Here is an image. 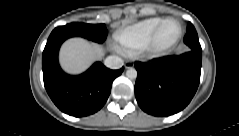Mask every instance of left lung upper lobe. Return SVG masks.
<instances>
[{
  "label": "left lung upper lobe",
  "mask_w": 239,
  "mask_h": 136,
  "mask_svg": "<svg viewBox=\"0 0 239 136\" xmlns=\"http://www.w3.org/2000/svg\"><path fill=\"white\" fill-rule=\"evenodd\" d=\"M184 42L191 48V51L202 53L197 32L194 26L190 22H188V25H187V31L184 37Z\"/></svg>",
  "instance_id": "obj_1"
}]
</instances>
